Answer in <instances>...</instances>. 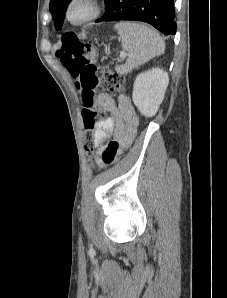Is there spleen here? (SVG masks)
<instances>
[{
    "label": "spleen",
    "mask_w": 227,
    "mask_h": 298,
    "mask_svg": "<svg viewBox=\"0 0 227 298\" xmlns=\"http://www.w3.org/2000/svg\"><path fill=\"white\" fill-rule=\"evenodd\" d=\"M114 28L128 52L125 64L115 67L118 73L127 74L164 53L165 42L155 30L135 22H120Z\"/></svg>",
    "instance_id": "spleen-1"
}]
</instances>
